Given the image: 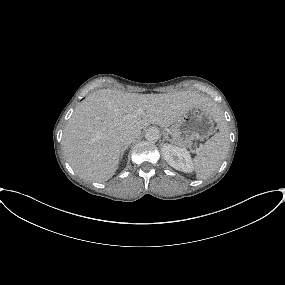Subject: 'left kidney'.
Masks as SVG:
<instances>
[{
  "label": "left kidney",
  "mask_w": 285,
  "mask_h": 285,
  "mask_svg": "<svg viewBox=\"0 0 285 285\" xmlns=\"http://www.w3.org/2000/svg\"><path fill=\"white\" fill-rule=\"evenodd\" d=\"M161 151L164 159L171 167L185 173L192 172L193 164L189 151L171 144H164Z\"/></svg>",
  "instance_id": "left-kidney-1"
}]
</instances>
